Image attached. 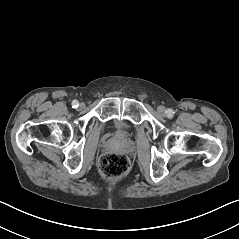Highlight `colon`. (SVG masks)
<instances>
[{
    "mask_svg": "<svg viewBox=\"0 0 239 239\" xmlns=\"http://www.w3.org/2000/svg\"><path fill=\"white\" fill-rule=\"evenodd\" d=\"M130 163L126 155L121 153H107L100 160V171L103 175L116 178L124 175L129 169Z\"/></svg>",
    "mask_w": 239,
    "mask_h": 239,
    "instance_id": "colon-1",
    "label": "colon"
}]
</instances>
